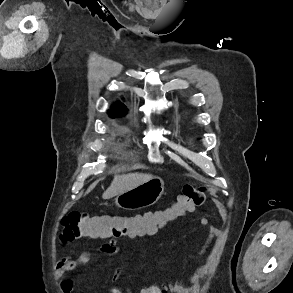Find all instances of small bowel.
Masks as SVG:
<instances>
[{
	"label": "small bowel",
	"instance_id": "1",
	"mask_svg": "<svg viewBox=\"0 0 293 293\" xmlns=\"http://www.w3.org/2000/svg\"><path fill=\"white\" fill-rule=\"evenodd\" d=\"M148 215V212L147 214ZM201 225L208 228L207 237L200 248L198 254L203 255L213 244L215 240H217L221 236V231L215 227L209 218L203 217L200 220ZM163 227V226H162ZM162 227L153 228L150 230H144L138 233H129L125 235L113 236L107 238L104 243H102L99 247V252L106 255H116L119 253V247L117 245V240L121 237H128V238H139V237H146V236H153L155 235ZM92 260L91 254L89 252H82L75 258L66 257L62 259L55 271L56 279L61 280V287L63 293H75L78 292V289L75 287L74 279L71 275L73 271L77 268L87 265ZM119 274L116 273L114 275V280L118 278ZM199 278V274L192 275L186 282H174L168 285H164L162 287L158 286H149L157 290V293H189L195 288V283ZM145 288L141 290V293H146L144 291ZM110 293H129L128 290L121 288V287H113L110 289Z\"/></svg>",
	"mask_w": 293,
	"mask_h": 293
}]
</instances>
